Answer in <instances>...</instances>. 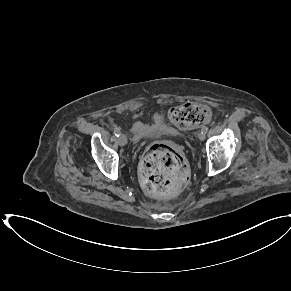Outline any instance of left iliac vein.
Listing matches in <instances>:
<instances>
[{"label": "left iliac vein", "instance_id": "obj_1", "mask_svg": "<svg viewBox=\"0 0 291 291\" xmlns=\"http://www.w3.org/2000/svg\"><path fill=\"white\" fill-rule=\"evenodd\" d=\"M197 137H198L201 141H203V140L205 139V133H203L202 131H199V132L197 133Z\"/></svg>", "mask_w": 291, "mask_h": 291}]
</instances>
